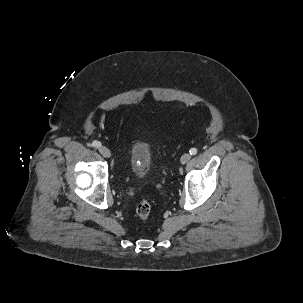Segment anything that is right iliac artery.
Returning <instances> with one entry per match:
<instances>
[{
  "label": "right iliac artery",
  "instance_id": "82829eb1",
  "mask_svg": "<svg viewBox=\"0 0 303 303\" xmlns=\"http://www.w3.org/2000/svg\"><path fill=\"white\" fill-rule=\"evenodd\" d=\"M92 146L94 148H99L101 146V143L99 141H94V142H92Z\"/></svg>",
  "mask_w": 303,
  "mask_h": 303
}]
</instances>
